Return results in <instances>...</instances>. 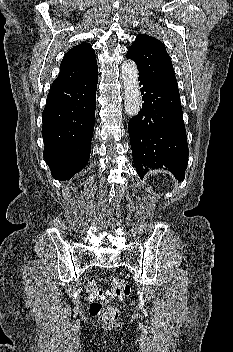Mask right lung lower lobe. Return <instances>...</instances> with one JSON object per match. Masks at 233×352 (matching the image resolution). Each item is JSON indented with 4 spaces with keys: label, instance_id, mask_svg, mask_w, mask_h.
I'll use <instances>...</instances> for the list:
<instances>
[{
    "label": "right lung lower lobe",
    "instance_id": "obj_1",
    "mask_svg": "<svg viewBox=\"0 0 233 352\" xmlns=\"http://www.w3.org/2000/svg\"><path fill=\"white\" fill-rule=\"evenodd\" d=\"M98 68L52 85L42 113L43 156L52 176L69 180L88 163L94 130Z\"/></svg>",
    "mask_w": 233,
    "mask_h": 352
}]
</instances>
